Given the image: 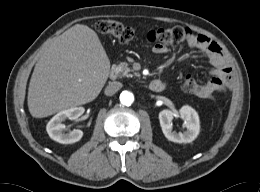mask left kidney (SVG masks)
I'll use <instances>...</instances> for the list:
<instances>
[{
  "label": "left kidney",
  "instance_id": "5707ae66",
  "mask_svg": "<svg viewBox=\"0 0 260 192\" xmlns=\"http://www.w3.org/2000/svg\"><path fill=\"white\" fill-rule=\"evenodd\" d=\"M176 113V111H172L169 109L162 110L159 113V121L163 134L168 140L172 142H192L198 136L200 131V121L198 113L188 105L180 108L179 114L181 118L185 120L184 125L186 127V131L179 133L172 131V120Z\"/></svg>",
  "mask_w": 260,
  "mask_h": 192
}]
</instances>
